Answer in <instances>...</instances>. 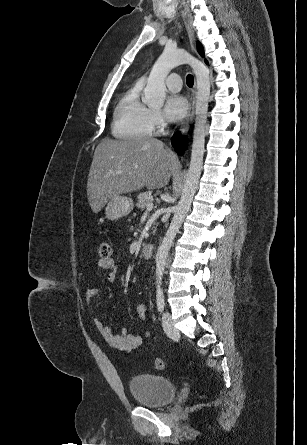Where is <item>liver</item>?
I'll use <instances>...</instances> for the list:
<instances>
[{
    "label": "liver",
    "instance_id": "obj_1",
    "mask_svg": "<svg viewBox=\"0 0 307 445\" xmlns=\"http://www.w3.org/2000/svg\"><path fill=\"white\" fill-rule=\"evenodd\" d=\"M177 160L153 136L112 140L103 138L95 148L91 162L87 194L93 212H100L106 202L123 192H134L143 186L162 188L172 176ZM109 170H121L110 174Z\"/></svg>",
    "mask_w": 307,
    "mask_h": 445
}]
</instances>
